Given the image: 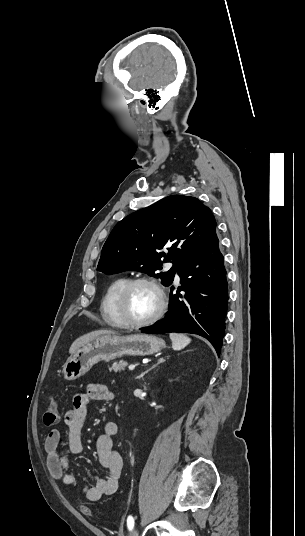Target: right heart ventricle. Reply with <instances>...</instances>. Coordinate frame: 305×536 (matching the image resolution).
I'll list each match as a JSON object with an SVG mask.
<instances>
[{"label": "right heart ventricle", "instance_id": "obj_1", "mask_svg": "<svg viewBox=\"0 0 305 536\" xmlns=\"http://www.w3.org/2000/svg\"><path fill=\"white\" fill-rule=\"evenodd\" d=\"M128 281L127 277L120 276L115 278L106 288L101 300L100 314L105 323L113 327H122V320L117 311V297Z\"/></svg>", "mask_w": 305, "mask_h": 536}]
</instances>
